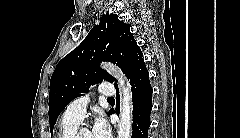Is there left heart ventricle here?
<instances>
[{
	"label": "left heart ventricle",
	"mask_w": 240,
	"mask_h": 138,
	"mask_svg": "<svg viewBox=\"0 0 240 138\" xmlns=\"http://www.w3.org/2000/svg\"><path fill=\"white\" fill-rule=\"evenodd\" d=\"M80 138H93V136L89 129L84 128L80 133Z\"/></svg>",
	"instance_id": "1"
}]
</instances>
